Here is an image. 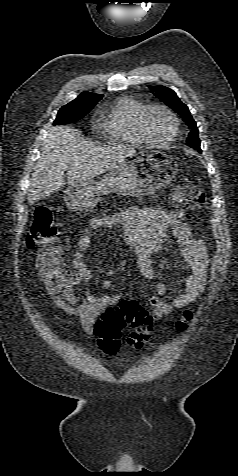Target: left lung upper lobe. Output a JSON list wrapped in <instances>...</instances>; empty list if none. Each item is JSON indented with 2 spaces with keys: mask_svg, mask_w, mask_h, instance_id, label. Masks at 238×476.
<instances>
[{
  "mask_svg": "<svg viewBox=\"0 0 238 476\" xmlns=\"http://www.w3.org/2000/svg\"><path fill=\"white\" fill-rule=\"evenodd\" d=\"M150 89L155 92V96L157 98L161 99L164 103L180 114L182 118L189 124V126L193 128V130H191L188 135L186 144L191 148L201 151L198 128L196 126V122L193 120L190 114L188 107L183 102H181L176 93L170 88L158 85L151 86Z\"/></svg>",
  "mask_w": 238,
  "mask_h": 476,
  "instance_id": "1",
  "label": "left lung upper lobe"
}]
</instances>
